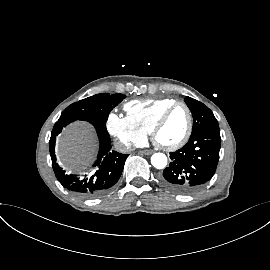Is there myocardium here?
Here are the masks:
<instances>
[{"mask_svg":"<svg viewBox=\"0 0 270 270\" xmlns=\"http://www.w3.org/2000/svg\"><path fill=\"white\" fill-rule=\"evenodd\" d=\"M178 107H183L187 112L188 125H187L186 132L183 135V137L179 141H177L176 143L170 144V145H164V144L159 142L158 133L161 130V128L163 127V125L165 124V122L167 121L170 114ZM192 130H193V114H192L190 107L184 102L177 101L174 104H172L171 106H169L157 119V121L155 122V124L152 128V131H151V138H152L154 145L157 148H159L163 151L170 152V151L178 150L179 148L183 147L187 143V141L189 140V138L192 134Z\"/></svg>","mask_w":270,"mask_h":270,"instance_id":"obj_1","label":"myocardium"}]
</instances>
